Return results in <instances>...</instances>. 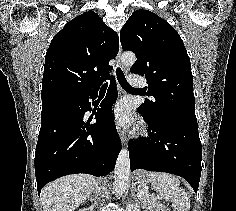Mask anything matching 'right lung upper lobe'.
I'll list each match as a JSON object with an SVG mask.
<instances>
[{"mask_svg": "<svg viewBox=\"0 0 236 211\" xmlns=\"http://www.w3.org/2000/svg\"><path fill=\"white\" fill-rule=\"evenodd\" d=\"M119 50V38L94 12L77 16L57 33L47 50L42 103L94 92L109 77L108 62Z\"/></svg>", "mask_w": 236, "mask_h": 211, "instance_id": "obj_1", "label": "right lung upper lobe"}]
</instances>
